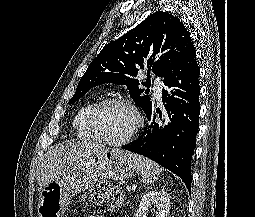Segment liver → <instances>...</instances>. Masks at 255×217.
Instances as JSON below:
<instances>
[{
  "label": "liver",
  "mask_w": 255,
  "mask_h": 217,
  "mask_svg": "<svg viewBox=\"0 0 255 217\" xmlns=\"http://www.w3.org/2000/svg\"><path fill=\"white\" fill-rule=\"evenodd\" d=\"M103 146L95 142H69L48 150L40 159L36 181L40 186L60 178L103 151Z\"/></svg>",
  "instance_id": "6515ba94"
}]
</instances>
